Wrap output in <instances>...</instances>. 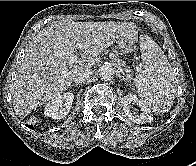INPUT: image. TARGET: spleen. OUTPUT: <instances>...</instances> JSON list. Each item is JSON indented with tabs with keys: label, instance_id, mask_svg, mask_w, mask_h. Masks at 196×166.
Returning <instances> with one entry per match:
<instances>
[{
	"label": "spleen",
	"instance_id": "1",
	"mask_svg": "<svg viewBox=\"0 0 196 166\" xmlns=\"http://www.w3.org/2000/svg\"><path fill=\"white\" fill-rule=\"evenodd\" d=\"M143 70L135 79L138 93L155 113L168 112L176 96V76L162 49L151 38L140 45Z\"/></svg>",
	"mask_w": 196,
	"mask_h": 166
}]
</instances>
